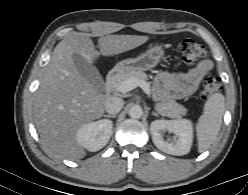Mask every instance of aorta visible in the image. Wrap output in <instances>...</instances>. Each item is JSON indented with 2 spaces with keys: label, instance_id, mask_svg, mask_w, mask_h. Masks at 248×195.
I'll use <instances>...</instances> for the list:
<instances>
[{
  "label": "aorta",
  "instance_id": "1",
  "mask_svg": "<svg viewBox=\"0 0 248 195\" xmlns=\"http://www.w3.org/2000/svg\"><path fill=\"white\" fill-rule=\"evenodd\" d=\"M142 114H143V111L139 105H134L129 109V116L133 119L141 118Z\"/></svg>",
  "mask_w": 248,
  "mask_h": 195
}]
</instances>
